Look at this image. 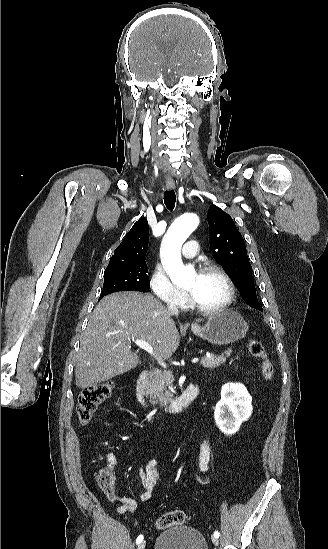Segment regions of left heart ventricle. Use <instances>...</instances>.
<instances>
[{
  "mask_svg": "<svg viewBox=\"0 0 328 549\" xmlns=\"http://www.w3.org/2000/svg\"><path fill=\"white\" fill-rule=\"evenodd\" d=\"M187 293L205 308L222 303L228 292L227 284L217 272L191 273L184 287Z\"/></svg>",
  "mask_w": 328,
  "mask_h": 549,
  "instance_id": "obj_1",
  "label": "left heart ventricle"
}]
</instances>
